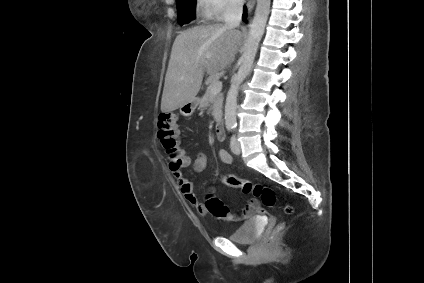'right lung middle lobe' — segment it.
I'll list each match as a JSON object with an SVG mask.
<instances>
[{"label": "right lung middle lobe", "instance_id": "obj_1", "mask_svg": "<svg viewBox=\"0 0 424 283\" xmlns=\"http://www.w3.org/2000/svg\"><path fill=\"white\" fill-rule=\"evenodd\" d=\"M195 0H177V15L180 25L195 18Z\"/></svg>", "mask_w": 424, "mask_h": 283}]
</instances>
